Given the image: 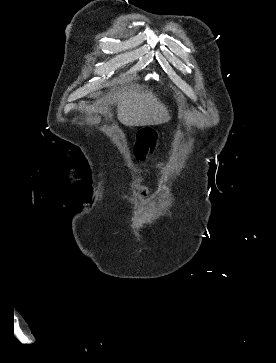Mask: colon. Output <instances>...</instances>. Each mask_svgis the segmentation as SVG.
<instances>
[{
	"instance_id": "obj_1",
	"label": "colon",
	"mask_w": 276,
	"mask_h": 363,
	"mask_svg": "<svg viewBox=\"0 0 276 363\" xmlns=\"http://www.w3.org/2000/svg\"><path fill=\"white\" fill-rule=\"evenodd\" d=\"M156 144V133L148 128L140 130L137 137L136 153L139 157H145L152 151Z\"/></svg>"
}]
</instances>
